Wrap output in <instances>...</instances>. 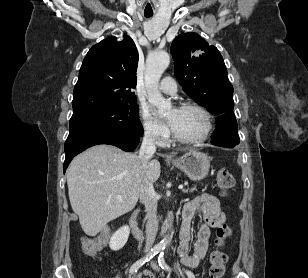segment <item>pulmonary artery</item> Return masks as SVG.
Segmentation results:
<instances>
[{
  "instance_id": "obj_1",
  "label": "pulmonary artery",
  "mask_w": 308,
  "mask_h": 278,
  "mask_svg": "<svg viewBox=\"0 0 308 278\" xmlns=\"http://www.w3.org/2000/svg\"><path fill=\"white\" fill-rule=\"evenodd\" d=\"M159 89L163 93L174 95L177 92V85L171 77H165L161 81Z\"/></svg>"
}]
</instances>
